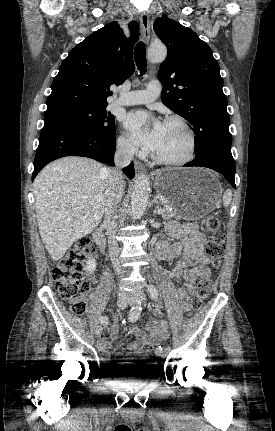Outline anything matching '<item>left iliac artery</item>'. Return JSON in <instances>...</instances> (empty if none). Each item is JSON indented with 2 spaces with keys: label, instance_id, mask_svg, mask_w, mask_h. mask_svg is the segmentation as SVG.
<instances>
[{
  "label": "left iliac artery",
  "instance_id": "44dca946",
  "mask_svg": "<svg viewBox=\"0 0 275 431\" xmlns=\"http://www.w3.org/2000/svg\"><path fill=\"white\" fill-rule=\"evenodd\" d=\"M147 291H148V294L150 295V297L153 300L158 301L159 294H158L157 288L154 285H151V284L148 285V290ZM162 351H163V347L162 346H158L155 349V353L157 355H160L162 353Z\"/></svg>",
  "mask_w": 275,
  "mask_h": 431
}]
</instances>
